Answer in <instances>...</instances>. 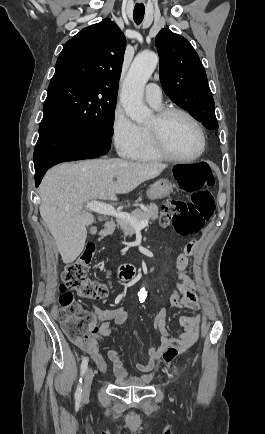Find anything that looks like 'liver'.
Here are the masks:
<instances>
[{
  "label": "liver",
  "mask_w": 265,
  "mask_h": 434,
  "mask_svg": "<svg viewBox=\"0 0 265 434\" xmlns=\"http://www.w3.org/2000/svg\"><path fill=\"white\" fill-rule=\"evenodd\" d=\"M166 164H135L126 160H85L78 164H59L44 176L39 188L40 216L55 240L64 264H72L87 238L86 226L94 216L83 212L90 200H114L146 180L157 178Z\"/></svg>",
  "instance_id": "6515ba94"
}]
</instances>
